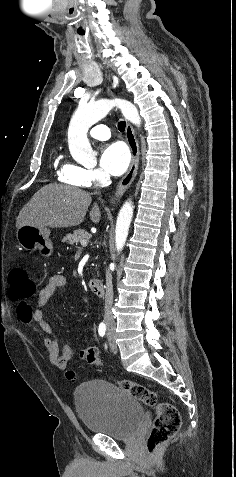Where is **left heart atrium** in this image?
Segmentation results:
<instances>
[{
    "instance_id": "39dd6f15",
    "label": "left heart atrium",
    "mask_w": 236,
    "mask_h": 477,
    "mask_svg": "<svg viewBox=\"0 0 236 477\" xmlns=\"http://www.w3.org/2000/svg\"><path fill=\"white\" fill-rule=\"evenodd\" d=\"M100 163L106 172L114 176H119L123 174L129 166V150L122 143L110 144L104 148Z\"/></svg>"
}]
</instances>
